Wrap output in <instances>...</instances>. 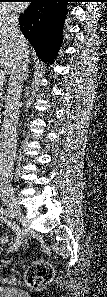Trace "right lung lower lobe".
<instances>
[{
	"label": "right lung lower lobe",
	"mask_w": 107,
	"mask_h": 297,
	"mask_svg": "<svg viewBox=\"0 0 107 297\" xmlns=\"http://www.w3.org/2000/svg\"><path fill=\"white\" fill-rule=\"evenodd\" d=\"M70 0H31L19 17L20 29L39 57L52 62L61 44V34Z\"/></svg>",
	"instance_id": "98d812e1"
}]
</instances>
